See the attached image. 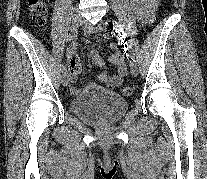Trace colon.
I'll list each match as a JSON object with an SVG mask.
<instances>
[{
    "label": "colon",
    "instance_id": "colon-1",
    "mask_svg": "<svg viewBox=\"0 0 207 179\" xmlns=\"http://www.w3.org/2000/svg\"><path fill=\"white\" fill-rule=\"evenodd\" d=\"M29 6L32 21L38 26L45 25L48 18L47 0H29ZM70 69H73L71 65ZM131 92L132 89L130 86H124L121 88V93L125 96L130 95Z\"/></svg>",
    "mask_w": 207,
    "mask_h": 179
}]
</instances>
